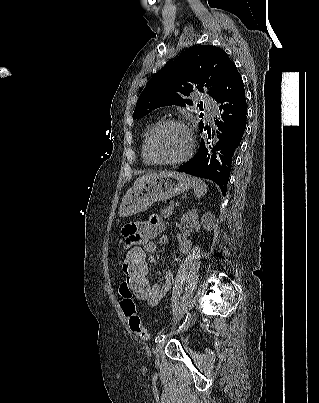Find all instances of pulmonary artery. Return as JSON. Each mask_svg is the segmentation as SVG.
Segmentation results:
<instances>
[{"mask_svg": "<svg viewBox=\"0 0 319 403\" xmlns=\"http://www.w3.org/2000/svg\"><path fill=\"white\" fill-rule=\"evenodd\" d=\"M206 105L210 107V106H211V103H210V102H206Z\"/></svg>", "mask_w": 319, "mask_h": 403, "instance_id": "obj_1", "label": "pulmonary artery"}]
</instances>
